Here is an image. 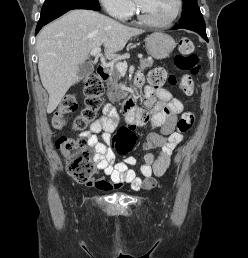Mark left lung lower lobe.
<instances>
[{
    "mask_svg": "<svg viewBox=\"0 0 248 258\" xmlns=\"http://www.w3.org/2000/svg\"><path fill=\"white\" fill-rule=\"evenodd\" d=\"M188 29L197 32L200 36L203 37L206 41H208L207 35H206V28H205V22L197 21V22H191L186 25H176L173 29Z\"/></svg>",
    "mask_w": 248,
    "mask_h": 258,
    "instance_id": "left-lung-lower-lobe-1",
    "label": "left lung lower lobe"
}]
</instances>
